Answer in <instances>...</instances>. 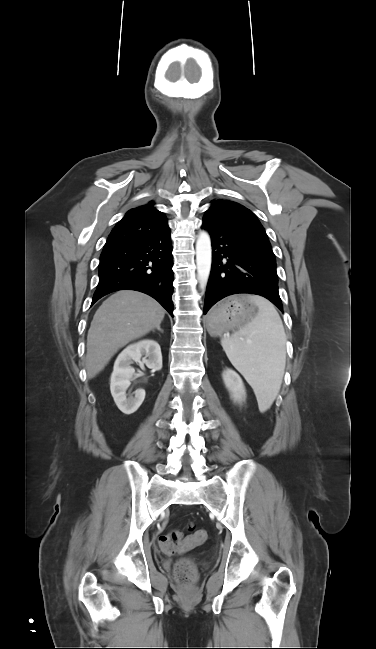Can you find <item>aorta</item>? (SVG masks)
Returning <instances> with one entry per match:
<instances>
[{
  "mask_svg": "<svg viewBox=\"0 0 376 649\" xmlns=\"http://www.w3.org/2000/svg\"><path fill=\"white\" fill-rule=\"evenodd\" d=\"M211 240L207 232L201 231L196 242V264L200 287L206 286L211 269Z\"/></svg>",
  "mask_w": 376,
  "mask_h": 649,
  "instance_id": "obj_1",
  "label": "aorta"
}]
</instances>
